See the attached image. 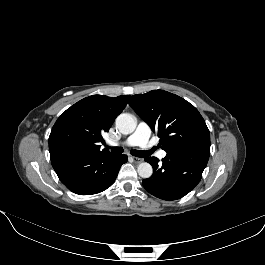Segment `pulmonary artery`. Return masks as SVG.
Returning a JSON list of instances; mask_svg holds the SVG:
<instances>
[{
  "instance_id": "1",
  "label": "pulmonary artery",
  "mask_w": 265,
  "mask_h": 265,
  "mask_svg": "<svg viewBox=\"0 0 265 265\" xmlns=\"http://www.w3.org/2000/svg\"><path fill=\"white\" fill-rule=\"evenodd\" d=\"M150 137V128L145 123H140L136 129V131L120 142H112V145H119V146H140L145 151H151L152 143L149 141ZM160 157H165L166 153L164 151L160 152Z\"/></svg>"
}]
</instances>
